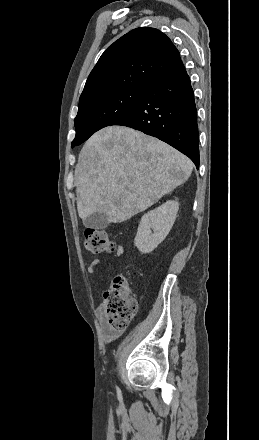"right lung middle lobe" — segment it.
Instances as JSON below:
<instances>
[{"label": "right lung middle lobe", "mask_w": 259, "mask_h": 440, "mask_svg": "<svg viewBox=\"0 0 259 440\" xmlns=\"http://www.w3.org/2000/svg\"><path fill=\"white\" fill-rule=\"evenodd\" d=\"M146 90L147 87L119 89L80 105L75 118L76 136L71 147L80 145L96 131L112 125L126 115L140 101Z\"/></svg>", "instance_id": "right-lung-middle-lobe-1"}]
</instances>
